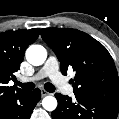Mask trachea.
Here are the masks:
<instances>
[{"mask_svg":"<svg viewBox=\"0 0 119 119\" xmlns=\"http://www.w3.org/2000/svg\"><path fill=\"white\" fill-rule=\"evenodd\" d=\"M17 85H19L21 88L25 89V90H33L35 87V84L32 82L29 83H21L19 81H16ZM44 89L48 92H54L55 91V86L51 83H45L44 85Z\"/></svg>","mask_w":119,"mask_h":119,"instance_id":"1","label":"trachea"}]
</instances>
